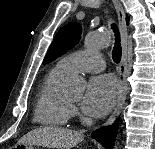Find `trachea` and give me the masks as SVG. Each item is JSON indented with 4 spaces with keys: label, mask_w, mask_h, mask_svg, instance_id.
<instances>
[{
    "label": "trachea",
    "mask_w": 155,
    "mask_h": 149,
    "mask_svg": "<svg viewBox=\"0 0 155 149\" xmlns=\"http://www.w3.org/2000/svg\"><path fill=\"white\" fill-rule=\"evenodd\" d=\"M112 29L115 33V45L112 51V58L115 63H119L121 60L122 48L120 43V34L115 24H112Z\"/></svg>",
    "instance_id": "obj_1"
}]
</instances>
